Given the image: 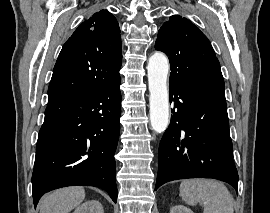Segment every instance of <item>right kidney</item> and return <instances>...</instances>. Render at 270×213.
<instances>
[{
    "instance_id": "ca27d5eb",
    "label": "right kidney",
    "mask_w": 270,
    "mask_h": 213,
    "mask_svg": "<svg viewBox=\"0 0 270 213\" xmlns=\"http://www.w3.org/2000/svg\"><path fill=\"white\" fill-rule=\"evenodd\" d=\"M73 213H104V210L100 202L89 200L78 206Z\"/></svg>"
}]
</instances>
